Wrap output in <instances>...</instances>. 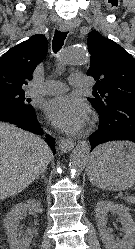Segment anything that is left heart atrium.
<instances>
[{
    "label": "left heart atrium",
    "mask_w": 135,
    "mask_h": 249,
    "mask_svg": "<svg viewBox=\"0 0 135 249\" xmlns=\"http://www.w3.org/2000/svg\"><path fill=\"white\" fill-rule=\"evenodd\" d=\"M45 113L57 128L74 133L82 130L88 120L87 105L72 96H60L46 102Z\"/></svg>",
    "instance_id": "left-heart-atrium-1"
}]
</instances>
